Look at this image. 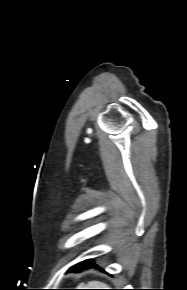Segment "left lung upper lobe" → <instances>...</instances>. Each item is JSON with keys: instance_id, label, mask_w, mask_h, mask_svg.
Wrapping results in <instances>:
<instances>
[{"instance_id": "1", "label": "left lung upper lobe", "mask_w": 187, "mask_h": 290, "mask_svg": "<svg viewBox=\"0 0 187 290\" xmlns=\"http://www.w3.org/2000/svg\"><path fill=\"white\" fill-rule=\"evenodd\" d=\"M88 261H89V260H86V261L80 262V263L74 265V266L72 267V269L76 271L78 268H80L82 265H84V263H86V262H88Z\"/></svg>"}]
</instances>
